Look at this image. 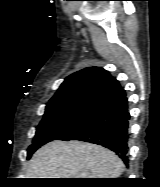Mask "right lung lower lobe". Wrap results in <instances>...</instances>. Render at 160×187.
<instances>
[{
    "label": "right lung lower lobe",
    "mask_w": 160,
    "mask_h": 187,
    "mask_svg": "<svg viewBox=\"0 0 160 187\" xmlns=\"http://www.w3.org/2000/svg\"><path fill=\"white\" fill-rule=\"evenodd\" d=\"M129 118L126 93L120 89L97 103L86 118L57 139L102 145L114 151L128 164Z\"/></svg>",
    "instance_id": "obj_1"
}]
</instances>
